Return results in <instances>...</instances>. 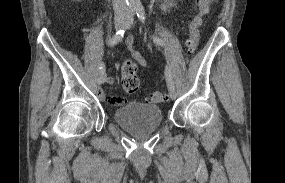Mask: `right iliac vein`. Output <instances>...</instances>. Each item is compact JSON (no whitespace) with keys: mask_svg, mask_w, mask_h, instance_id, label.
<instances>
[{"mask_svg":"<svg viewBox=\"0 0 285 183\" xmlns=\"http://www.w3.org/2000/svg\"><path fill=\"white\" fill-rule=\"evenodd\" d=\"M127 22V19L124 17H119L115 19L114 25L116 30H120ZM106 80L104 72H100L98 75V84H103Z\"/></svg>","mask_w":285,"mask_h":183,"instance_id":"1","label":"right iliac vein"}]
</instances>
